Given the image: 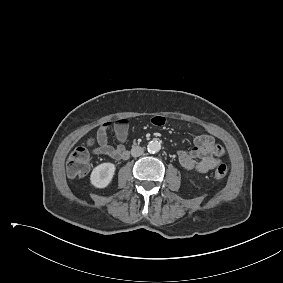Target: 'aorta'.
<instances>
[{"mask_svg": "<svg viewBox=\"0 0 283 283\" xmlns=\"http://www.w3.org/2000/svg\"><path fill=\"white\" fill-rule=\"evenodd\" d=\"M160 149H161V144L156 140L150 141L149 144L147 145V150L150 153H156Z\"/></svg>", "mask_w": 283, "mask_h": 283, "instance_id": "aorta-1", "label": "aorta"}]
</instances>
